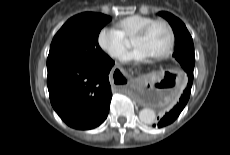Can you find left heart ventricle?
<instances>
[{"mask_svg":"<svg viewBox=\"0 0 230 155\" xmlns=\"http://www.w3.org/2000/svg\"><path fill=\"white\" fill-rule=\"evenodd\" d=\"M168 43L169 32L161 23L154 25L146 36L133 39V46L145 48L152 57L162 53Z\"/></svg>","mask_w":230,"mask_h":155,"instance_id":"b2bd125f","label":"left heart ventricle"}]
</instances>
